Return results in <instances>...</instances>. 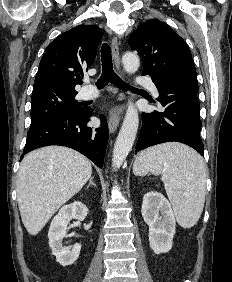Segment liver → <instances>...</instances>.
<instances>
[{
	"label": "liver",
	"instance_id": "1",
	"mask_svg": "<svg viewBox=\"0 0 232 282\" xmlns=\"http://www.w3.org/2000/svg\"><path fill=\"white\" fill-rule=\"evenodd\" d=\"M90 161L63 146H47L28 153L17 180V201L22 222L38 234L54 213L87 183Z\"/></svg>",
	"mask_w": 232,
	"mask_h": 282
}]
</instances>
